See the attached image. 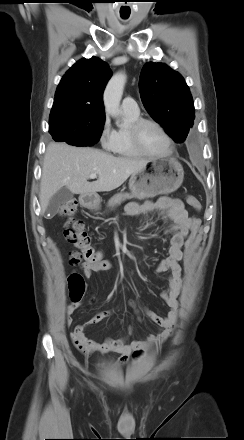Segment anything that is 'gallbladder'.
I'll return each mask as SVG.
<instances>
[{"mask_svg":"<svg viewBox=\"0 0 244 440\" xmlns=\"http://www.w3.org/2000/svg\"><path fill=\"white\" fill-rule=\"evenodd\" d=\"M73 193L66 187H62L57 193L50 199L48 207L46 209L47 214L54 216L62 204L67 203L73 199Z\"/></svg>","mask_w":244,"mask_h":440,"instance_id":"bac80fb5","label":"gallbladder"}]
</instances>
